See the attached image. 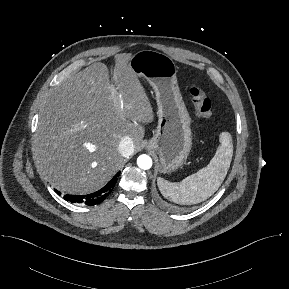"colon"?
Wrapping results in <instances>:
<instances>
[{
  "instance_id": "1",
  "label": "colon",
  "mask_w": 289,
  "mask_h": 289,
  "mask_svg": "<svg viewBox=\"0 0 289 289\" xmlns=\"http://www.w3.org/2000/svg\"><path fill=\"white\" fill-rule=\"evenodd\" d=\"M190 94L196 116L202 120H209L212 116V106L205 92L199 87H193Z\"/></svg>"
}]
</instances>
